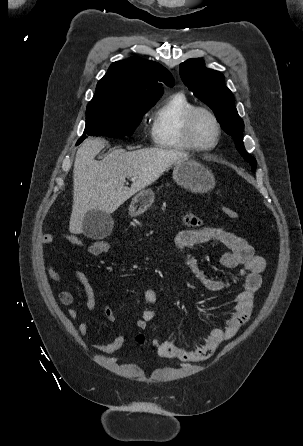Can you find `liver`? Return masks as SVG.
<instances>
[{"mask_svg": "<svg viewBox=\"0 0 303 446\" xmlns=\"http://www.w3.org/2000/svg\"><path fill=\"white\" fill-rule=\"evenodd\" d=\"M106 141L87 139L78 149L73 169V207L69 231L82 233L87 212L98 210L111 214L136 192L155 182L171 165L188 154L167 149H114L103 160H95ZM132 178L131 187L124 185Z\"/></svg>", "mask_w": 303, "mask_h": 446, "instance_id": "1", "label": "liver"}]
</instances>
